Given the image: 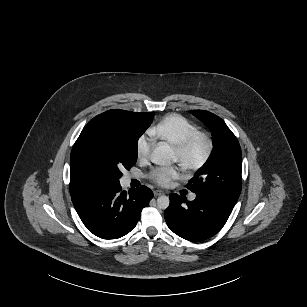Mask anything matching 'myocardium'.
<instances>
[{"instance_id": "f54148a6", "label": "myocardium", "mask_w": 307, "mask_h": 307, "mask_svg": "<svg viewBox=\"0 0 307 307\" xmlns=\"http://www.w3.org/2000/svg\"><path fill=\"white\" fill-rule=\"evenodd\" d=\"M201 148L200 156L192 161L189 156L194 148ZM214 141L212 137L207 134L197 133L195 136L187 140L185 143L172 147V152L180 159V164L183 168L190 172L199 171L208 162L213 154Z\"/></svg>"}]
</instances>
